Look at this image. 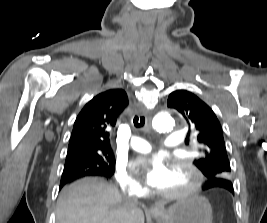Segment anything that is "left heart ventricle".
Masks as SVG:
<instances>
[{
    "label": "left heart ventricle",
    "instance_id": "1",
    "mask_svg": "<svg viewBox=\"0 0 267 223\" xmlns=\"http://www.w3.org/2000/svg\"><path fill=\"white\" fill-rule=\"evenodd\" d=\"M192 182V177L185 170L170 171L169 178L158 188L162 192H172L187 188Z\"/></svg>",
    "mask_w": 267,
    "mask_h": 223
}]
</instances>
